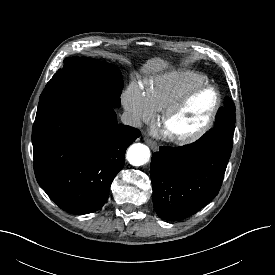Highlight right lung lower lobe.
I'll return each mask as SVG.
<instances>
[{"mask_svg":"<svg viewBox=\"0 0 275 275\" xmlns=\"http://www.w3.org/2000/svg\"><path fill=\"white\" fill-rule=\"evenodd\" d=\"M138 129L117 123L114 108L71 100L36 119L32 130L37 182L63 210H99L125 164V152Z\"/></svg>","mask_w":275,"mask_h":275,"instance_id":"98d812e1","label":"right lung lower lobe"}]
</instances>
